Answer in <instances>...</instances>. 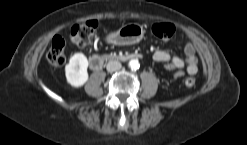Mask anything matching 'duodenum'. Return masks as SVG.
<instances>
[{
    "mask_svg": "<svg viewBox=\"0 0 247 145\" xmlns=\"http://www.w3.org/2000/svg\"><path fill=\"white\" fill-rule=\"evenodd\" d=\"M141 57L142 56L139 53H128V54L114 56L113 59L118 61H129L133 59H140ZM88 62L92 70H100L102 68L104 59L100 55L94 54L89 57Z\"/></svg>",
    "mask_w": 247,
    "mask_h": 145,
    "instance_id": "410a0bca",
    "label": "duodenum"
}]
</instances>
